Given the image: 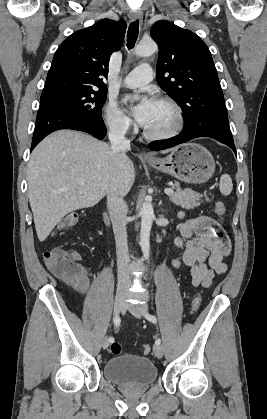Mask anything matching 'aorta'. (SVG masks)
<instances>
[{
    "instance_id": "aorta-1",
    "label": "aorta",
    "mask_w": 267,
    "mask_h": 419,
    "mask_svg": "<svg viewBox=\"0 0 267 419\" xmlns=\"http://www.w3.org/2000/svg\"><path fill=\"white\" fill-rule=\"evenodd\" d=\"M158 47L155 42H141L137 45L134 50V54L137 56H150L156 53ZM141 229H140V246L143 252L144 258L147 260L150 253V231L152 227V222L154 219V211L152 202L150 199L146 198L142 204L141 210Z\"/></svg>"
}]
</instances>
